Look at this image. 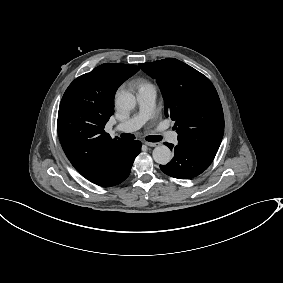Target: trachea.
Instances as JSON below:
<instances>
[{
	"label": "trachea",
	"mask_w": 283,
	"mask_h": 283,
	"mask_svg": "<svg viewBox=\"0 0 283 283\" xmlns=\"http://www.w3.org/2000/svg\"><path fill=\"white\" fill-rule=\"evenodd\" d=\"M120 137L123 138V139H128V140H131V139H134V138H135L134 135L129 134V133H122V134L120 135ZM162 138H163V137L160 136V135H151V136H147V137H146V140L149 141V142H159V141L162 140Z\"/></svg>",
	"instance_id": "1"
}]
</instances>
